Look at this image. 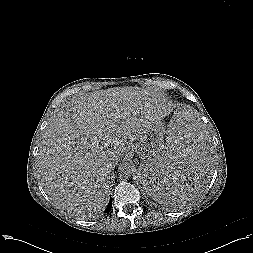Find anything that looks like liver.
Wrapping results in <instances>:
<instances>
[{
  "mask_svg": "<svg viewBox=\"0 0 253 253\" xmlns=\"http://www.w3.org/2000/svg\"><path fill=\"white\" fill-rule=\"evenodd\" d=\"M170 112L164 96L138 87L98 90L63 102L48 122L37 156L50 200L75 217L100 214L118 159Z\"/></svg>",
  "mask_w": 253,
  "mask_h": 253,
  "instance_id": "1",
  "label": "liver"
}]
</instances>
